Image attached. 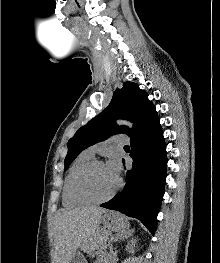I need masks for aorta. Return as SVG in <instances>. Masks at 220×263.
Masks as SVG:
<instances>
[{
  "instance_id": "762f6f07",
  "label": "aorta",
  "mask_w": 220,
  "mask_h": 263,
  "mask_svg": "<svg viewBox=\"0 0 220 263\" xmlns=\"http://www.w3.org/2000/svg\"><path fill=\"white\" fill-rule=\"evenodd\" d=\"M118 124H124V125H127V126L130 127V128L133 127L132 123L126 122V121H118Z\"/></svg>"
}]
</instances>
